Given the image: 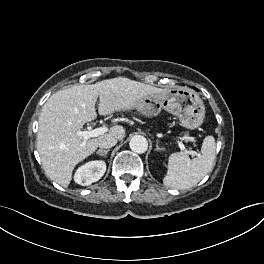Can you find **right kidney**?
I'll return each mask as SVG.
<instances>
[{
  "instance_id": "1",
  "label": "right kidney",
  "mask_w": 264,
  "mask_h": 264,
  "mask_svg": "<svg viewBox=\"0 0 264 264\" xmlns=\"http://www.w3.org/2000/svg\"><path fill=\"white\" fill-rule=\"evenodd\" d=\"M106 171V163L101 160L90 161L79 167L74 175V181L82 186H88L98 181Z\"/></svg>"
}]
</instances>
